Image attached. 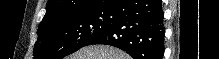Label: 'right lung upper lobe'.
<instances>
[{
	"instance_id": "obj_1",
	"label": "right lung upper lobe",
	"mask_w": 219,
	"mask_h": 59,
	"mask_svg": "<svg viewBox=\"0 0 219 59\" xmlns=\"http://www.w3.org/2000/svg\"><path fill=\"white\" fill-rule=\"evenodd\" d=\"M118 0H48L46 14L40 24L57 18L113 9Z\"/></svg>"
}]
</instances>
